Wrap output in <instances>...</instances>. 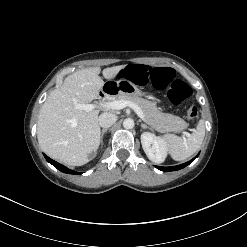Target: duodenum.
Wrapping results in <instances>:
<instances>
[{"label":"duodenum","mask_w":247,"mask_h":247,"mask_svg":"<svg viewBox=\"0 0 247 247\" xmlns=\"http://www.w3.org/2000/svg\"><path fill=\"white\" fill-rule=\"evenodd\" d=\"M118 88L115 85H106L102 88V90L99 93V97L101 99L105 98L107 95L115 94L117 93Z\"/></svg>","instance_id":"duodenum-1"}]
</instances>
